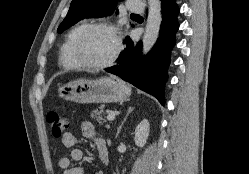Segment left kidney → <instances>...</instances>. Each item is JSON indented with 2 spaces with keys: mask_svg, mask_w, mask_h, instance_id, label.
Returning <instances> with one entry per match:
<instances>
[{
  "mask_svg": "<svg viewBox=\"0 0 249 174\" xmlns=\"http://www.w3.org/2000/svg\"><path fill=\"white\" fill-rule=\"evenodd\" d=\"M150 124L147 119L141 121L135 129L134 141L138 147H144L149 136Z\"/></svg>",
  "mask_w": 249,
  "mask_h": 174,
  "instance_id": "left-kidney-1",
  "label": "left kidney"
}]
</instances>
